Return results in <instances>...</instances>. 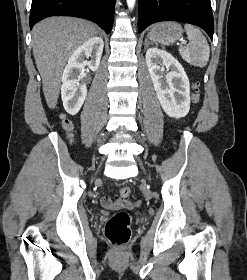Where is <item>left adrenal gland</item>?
<instances>
[{
	"mask_svg": "<svg viewBox=\"0 0 247 280\" xmlns=\"http://www.w3.org/2000/svg\"><path fill=\"white\" fill-rule=\"evenodd\" d=\"M148 43H149V42H148V40L146 39V40H145V48L147 47Z\"/></svg>",
	"mask_w": 247,
	"mask_h": 280,
	"instance_id": "1",
	"label": "left adrenal gland"
}]
</instances>
